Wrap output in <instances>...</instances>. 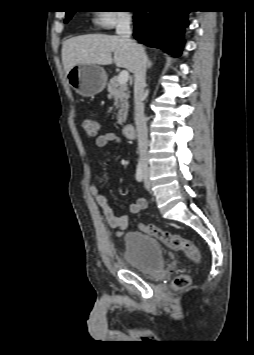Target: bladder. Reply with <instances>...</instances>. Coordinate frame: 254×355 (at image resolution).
Instances as JSON below:
<instances>
[{
  "label": "bladder",
  "instance_id": "1",
  "mask_svg": "<svg viewBox=\"0 0 254 355\" xmlns=\"http://www.w3.org/2000/svg\"><path fill=\"white\" fill-rule=\"evenodd\" d=\"M124 243L123 256L129 267L147 274L161 273L165 270L164 249L153 237L128 232L124 236Z\"/></svg>",
  "mask_w": 254,
  "mask_h": 355
}]
</instances>
